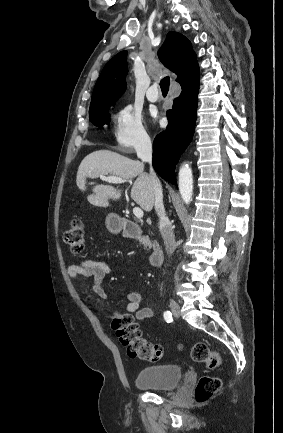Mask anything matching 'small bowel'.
<instances>
[{"instance_id":"obj_1","label":"small bowel","mask_w":283,"mask_h":433,"mask_svg":"<svg viewBox=\"0 0 283 433\" xmlns=\"http://www.w3.org/2000/svg\"><path fill=\"white\" fill-rule=\"evenodd\" d=\"M110 265L105 261L81 259L68 266L67 273L71 279L80 278L93 280V289L100 299H107L106 291L103 287L105 277L110 273ZM127 304L125 312L133 314L136 321L151 319L153 311L148 307H142L143 295L138 290L129 292L125 297Z\"/></svg>"}]
</instances>
